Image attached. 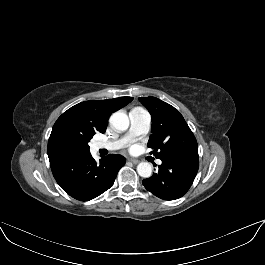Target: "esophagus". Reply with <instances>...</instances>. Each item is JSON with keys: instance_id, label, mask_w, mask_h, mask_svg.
I'll list each match as a JSON object with an SVG mask.
<instances>
[{"instance_id": "1", "label": "esophagus", "mask_w": 265, "mask_h": 265, "mask_svg": "<svg viewBox=\"0 0 265 265\" xmlns=\"http://www.w3.org/2000/svg\"><path fill=\"white\" fill-rule=\"evenodd\" d=\"M129 162L133 163V164H138L139 161L135 160V159H128Z\"/></svg>"}]
</instances>
